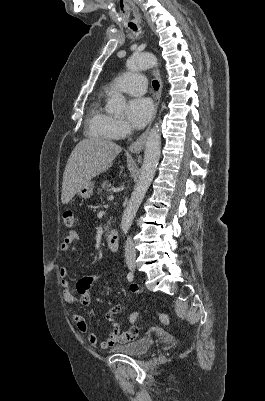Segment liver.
<instances>
[{
    "mask_svg": "<svg viewBox=\"0 0 265 401\" xmlns=\"http://www.w3.org/2000/svg\"><path fill=\"white\" fill-rule=\"evenodd\" d=\"M122 148L103 138H83L73 148L63 174L61 201L68 205L81 184L112 166Z\"/></svg>",
    "mask_w": 265,
    "mask_h": 401,
    "instance_id": "1",
    "label": "liver"
}]
</instances>
